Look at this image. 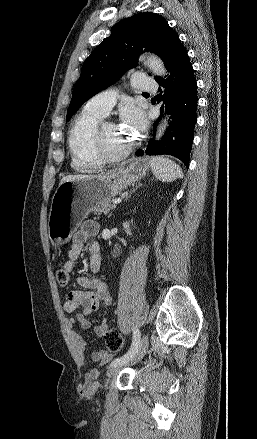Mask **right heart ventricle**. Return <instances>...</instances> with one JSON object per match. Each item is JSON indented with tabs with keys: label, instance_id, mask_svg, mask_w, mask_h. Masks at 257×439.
Wrapping results in <instances>:
<instances>
[{
	"label": "right heart ventricle",
	"instance_id": "e07e8e85",
	"mask_svg": "<svg viewBox=\"0 0 257 439\" xmlns=\"http://www.w3.org/2000/svg\"><path fill=\"white\" fill-rule=\"evenodd\" d=\"M103 116L98 112L84 108L70 129L68 146L72 166L77 171L89 172L101 164V158L95 146V136Z\"/></svg>",
	"mask_w": 257,
	"mask_h": 439
}]
</instances>
